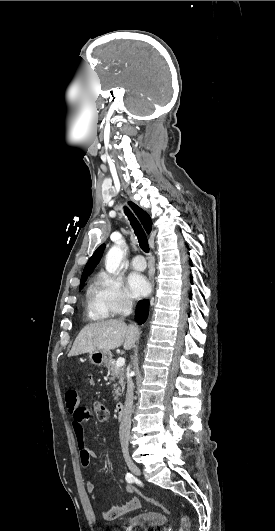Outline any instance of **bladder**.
<instances>
[{
	"mask_svg": "<svg viewBox=\"0 0 275 531\" xmlns=\"http://www.w3.org/2000/svg\"><path fill=\"white\" fill-rule=\"evenodd\" d=\"M165 516L162 512L150 510L145 514L132 515L129 523V531H142V528L163 527ZM133 522V523H132Z\"/></svg>",
	"mask_w": 275,
	"mask_h": 531,
	"instance_id": "31cf9c89",
	"label": "bladder"
}]
</instances>
